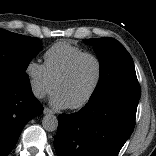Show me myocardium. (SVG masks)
Returning <instances> with one entry per match:
<instances>
[{
    "instance_id": "1",
    "label": "myocardium",
    "mask_w": 156,
    "mask_h": 156,
    "mask_svg": "<svg viewBox=\"0 0 156 156\" xmlns=\"http://www.w3.org/2000/svg\"><path fill=\"white\" fill-rule=\"evenodd\" d=\"M87 57L92 58L96 61L97 65H98V76H97L94 86L92 87L91 91L87 94V96L83 100H81L79 103L68 107L71 110H78V109L85 107L92 101V99L97 94V92L101 86V83L103 80V74H104V64H103L102 59L97 54L92 53V52H83V53L79 54L70 62V64L67 66V68L64 70V72L57 78V80L55 81V84H54V90H56L60 83L67 80L71 76V74L73 73L77 64L82 59L87 58Z\"/></svg>"
}]
</instances>
